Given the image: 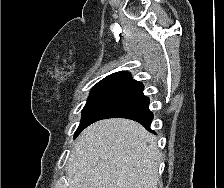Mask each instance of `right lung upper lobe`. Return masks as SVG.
Returning <instances> with one entry per match:
<instances>
[{
    "label": "right lung upper lobe",
    "instance_id": "cb5924a9",
    "mask_svg": "<svg viewBox=\"0 0 224 188\" xmlns=\"http://www.w3.org/2000/svg\"><path fill=\"white\" fill-rule=\"evenodd\" d=\"M103 80H127V81H133L130 74L126 71H120L114 74H111L104 78Z\"/></svg>",
    "mask_w": 224,
    "mask_h": 188
}]
</instances>
